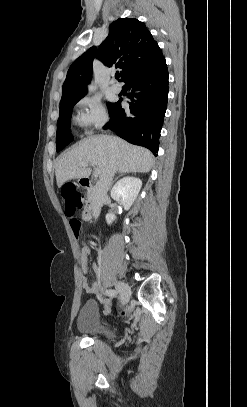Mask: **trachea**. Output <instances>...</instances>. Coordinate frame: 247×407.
Segmentation results:
<instances>
[{
    "label": "trachea",
    "mask_w": 247,
    "mask_h": 407,
    "mask_svg": "<svg viewBox=\"0 0 247 407\" xmlns=\"http://www.w3.org/2000/svg\"><path fill=\"white\" fill-rule=\"evenodd\" d=\"M120 77L119 73L115 75V78L118 79Z\"/></svg>",
    "instance_id": "obj_1"
}]
</instances>
